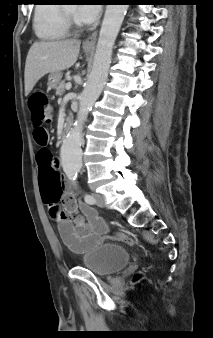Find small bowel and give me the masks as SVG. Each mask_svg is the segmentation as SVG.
Listing matches in <instances>:
<instances>
[{
	"instance_id": "obj_1",
	"label": "small bowel",
	"mask_w": 213,
	"mask_h": 338,
	"mask_svg": "<svg viewBox=\"0 0 213 338\" xmlns=\"http://www.w3.org/2000/svg\"><path fill=\"white\" fill-rule=\"evenodd\" d=\"M43 152L51 175V183H47L43 179V170L40 171L39 182L44 195L49 198L60 186L63 187L66 193L64 213L74 216L73 220L62 219L58 222L61 239L73 253L89 252L108 239L107 227L93 207L77 202L69 182L56 170V159L46 149Z\"/></svg>"
}]
</instances>
